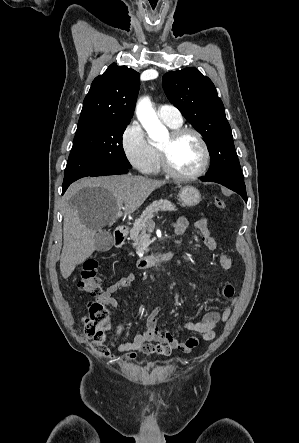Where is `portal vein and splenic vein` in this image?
<instances>
[{
	"instance_id": "18ae733b",
	"label": "portal vein and splenic vein",
	"mask_w": 299,
	"mask_h": 443,
	"mask_svg": "<svg viewBox=\"0 0 299 443\" xmlns=\"http://www.w3.org/2000/svg\"><path fill=\"white\" fill-rule=\"evenodd\" d=\"M116 216H117V217L122 216V212H118ZM152 217H153V216H151V218H152Z\"/></svg>"
}]
</instances>
